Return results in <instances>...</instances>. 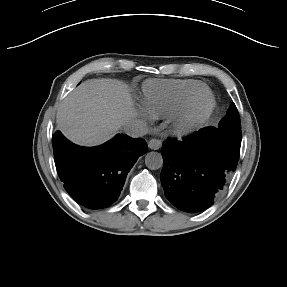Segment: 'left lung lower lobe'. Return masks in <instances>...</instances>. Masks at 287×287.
<instances>
[{"mask_svg": "<svg viewBox=\"0 0 287 287\" xmlns=\"http://www.w3.org/2000/svg\"><path fill=\"white\" fill-rule=\"evenodd\" d=\"M240 146L241 133L215 127L202 128L182 141H165L161 183L166 198L186 212L213 205L236 169Z\"/></svg>", "mask_w": 287, "mask_h": 287, "instance_id": "0a47b994", "label": "left lung lower lobe"}]
</instances>
